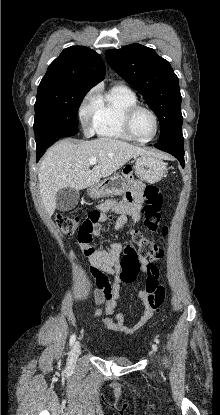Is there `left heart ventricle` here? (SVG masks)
Wrapping results in <instances>:
<instances>
[{
    "label": "left heart ventricle",
    "mask_w": 220,
    "mask_h": 415,
    "mask_svg": "<svg viewBox=\"0 0 220 415\" xmlns=\"http://www.w3.org/2000/svg\"><path fill=\"white\" fill-rule=\"evenodd\" d=\"M132 130L139 139L150 138L155 131L153 117L144 110L137 111L132 119Z\"/></svg>",
    "instance_id": "left-heart-ventricle-1"
}]
</instances>
